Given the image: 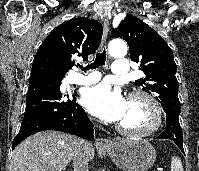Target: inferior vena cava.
Listing matches in <instances>:
<instances>
[{
    "instance_id": "inferior-vena-cava-1",
    "label": "inferior vena cava",
    "mask_w": 199,
    "mask_h": 171,
    "mask_svg": "<svg viewBox=\"0 0 199 171\" xmlns=\"http://www.w3.org/2000/svg\"><path fill=\"white\" fill-rule=\"evenodd\" d=\"M85 144L84 140L79 141L73 158L74 171H88V160L85 154Z\"/></svg>"
}]
</instances>
